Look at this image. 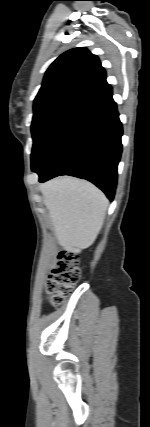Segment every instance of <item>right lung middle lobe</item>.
<instances>
[{
	"mask_svg": "<svg viewBox=\"0 0 150 427\" xmlns=\"http://www.w3.org/2000/svg\"><path fill=\"white\" fill-rule=\"evenodd\" d=\"M79 110V108L70 106H53L34 111L31 127L33 137L32 171L36 172L54 141Z\"/></svg>",
	"mask_w": 150,
	"mask_h": 427,
	"instance_id": "1",
	"label": "right lung middle lobe"
}]
</instances>
